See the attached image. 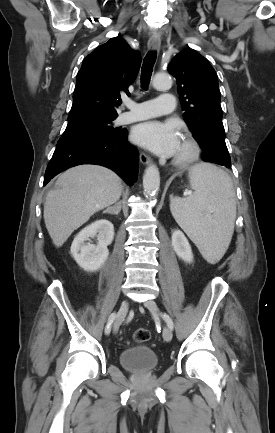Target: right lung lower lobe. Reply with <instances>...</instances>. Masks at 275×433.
<instances>
[{
    "mask_svg": "<svg viewBox=\"0 0 275 433\" xmlns=\"http://www.w3.org/2000/svg\"><path fill=\"white\" fill-rule=\"evenodd\" d=\"M112 137L71 136L60 138L47 166L46 185L60 172L80 164H97L118 173L133 185L138 173V150L127 141V130Z\"/></svg>",
    "mask_w": 275,
    "mask_h": 433,
    "instance_id": "1",
    "label": "right lung lower lobe"
}]
</instances>
